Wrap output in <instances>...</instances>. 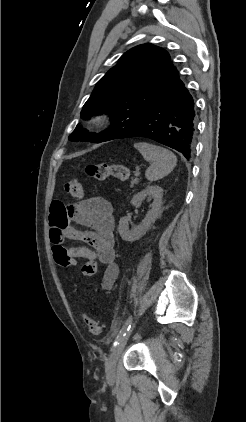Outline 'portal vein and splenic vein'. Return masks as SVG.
I'll list each match as a JSON object with an SVG mask.
<instances>
[{"label":"portal vein and splenic vein","mask_w":246,"mask_h":422,"mask_svg":"<svg viewBox=\"0 0 246 422\" xmlns=\"http://www.w3.org/2000/svg\"><path fill=\"white\" fill-rule=\"evenodd\" d=\"M139 174H140V173H139V171H136L135 175H136V176H139Z\"/></svg>","instance_id":"1"}]
</instances>
